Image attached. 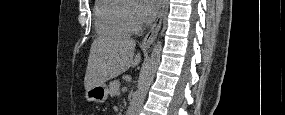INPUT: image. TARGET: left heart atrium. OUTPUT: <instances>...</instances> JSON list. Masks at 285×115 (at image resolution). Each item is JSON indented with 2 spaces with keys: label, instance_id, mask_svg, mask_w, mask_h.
Segmentation results:
<instances>
[{
  "label": "left heart atrium",
  "instance_id": "obj_1",
  "mask_svg": "<svg viewBox=\"0 0 285 115\" xmlns=\"http://www.w3.org/2000/svg\"><path fill=\"white\" fill-rule=\"evenodd\" d=\"M159 5L160 0H140V18L145 22L150 21L156 15Z\"/></svg>",
  "mask_w": 285,
  "mask_h": 115
}]
</instances>
